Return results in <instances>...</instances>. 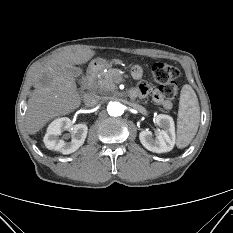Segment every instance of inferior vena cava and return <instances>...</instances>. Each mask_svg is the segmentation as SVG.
<instances>
[{"instance_id": "1", "label": "inferior vena cava", "mask_w": 233, "mask_h": 233, "mask_svg": "<svg viewBox=\"0 0 233 233\" xmlns=\"http://www.w3.org/2000/svg\"><path fill=\"white\" fill-rule=\"evenodd\" d=\"M100 97L94 93H89L84 96L85 105L88 107H93L98 104Z\"/></svg>"}]
</instances>
